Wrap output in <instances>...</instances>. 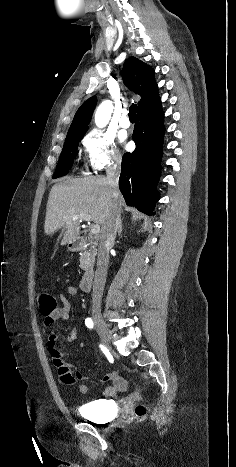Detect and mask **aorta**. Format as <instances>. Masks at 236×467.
<instances>
[{"instance_id": "obj_1", "label": "aorta", "mask_w": 236, "mask_h": 467, "mask_svg": "<svg viewBox=\"0 0 236 467\" xmlns=\"http://www.w3.org/2000/svg\"><path fill=\"white\" fill-rule=\"evenodd\" d=\"M113 111V104L110 100L103 101L96 109L94 121L97 127H105Z\"/></svg>"}]
</instances>
